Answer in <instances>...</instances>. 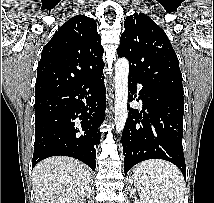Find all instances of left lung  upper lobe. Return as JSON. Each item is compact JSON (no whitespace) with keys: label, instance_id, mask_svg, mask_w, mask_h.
<instances>
[{"label":"left lung upper lobe","instance_id":"obj_1","mask_svg":"<svg viewBox=\"0 0 214 203\" xmlns=\"http://www.w3.org/2000/svg\"><path fill=\"white\" fill-rule=\"evenodd\" d=\"M121 35L119 56L129 61V76L141 84L183 95L177 55L165 32L147 15L128 16Z\"/></svg>","mask_w":214,"mask_h":203}]
</instances>
